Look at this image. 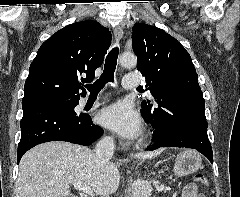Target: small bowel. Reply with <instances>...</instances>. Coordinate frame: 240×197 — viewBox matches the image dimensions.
<instances>
[{"label": "small bowel", "instance_id": "small-bowel-1", "mask_svg": "<svg viewBox=\"0 0 240 197\" xmlns=\"http://www.w3.org/2000/svg\"><path fill=\"white\" fill-rule=\"evenodd\" d=\"M182 197H204V195L197 192V186L194 183H190L184 189Z\"/></svg>", "mask_w": 240, "mask_h": 197}]
</instances>
